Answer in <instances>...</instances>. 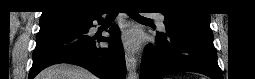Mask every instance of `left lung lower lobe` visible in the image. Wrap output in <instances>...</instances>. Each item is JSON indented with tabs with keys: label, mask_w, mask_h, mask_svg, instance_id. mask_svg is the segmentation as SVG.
Wrapping results in <instances>:
<instances>
[{
	"label": "left lung lower lobe",
	"mask_w": 255,
	"mask_h": 79,
	"mask_svg": "<svg viewBox=\"0 0 255 79\" xmlns=\"http://www.w3.org/2000/svg\"><path fill=\"white\" fill-rule=\"evenodd\" d=\"M156 39L155 46L146 48L140 79H162L179 72H197L212 79H223L211 29L180 28L157 34Z\"/></svg>",
	"instance_id": "1"
}]
</instances>
